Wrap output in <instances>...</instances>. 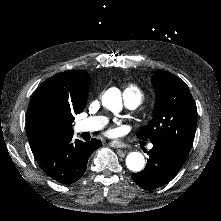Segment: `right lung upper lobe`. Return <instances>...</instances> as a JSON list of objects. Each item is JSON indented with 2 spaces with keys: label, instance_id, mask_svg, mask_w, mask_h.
Wrapping results in <instances>:
<instances>
[{
  "label": "right lung upper lobe",
  "instance_id": "1",
  "mask_svg": "<svg viewBox=\"0 0 221 221\" xmlns=\"http://www.w3.org/2000/svg\"><path fill=\"white\" fill-rule=\"evenodd\" d=\"M90 76L84 70H69L45 80L33 93L26 113V133L34 153L51 146L37 126V108L49 105L73 114L82 112L87 103Z\"/></svg>",
  "mask_w": 221,
  "mask_h": 221
}]
</instances>
